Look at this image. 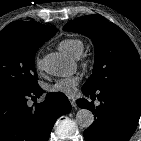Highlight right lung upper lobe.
Masks as SVG:
<instances>
[{"mask_svg": "<svg viewBox=\"0 0 141 141\" xmlns=\"http://www.w3.org/2000/svg\"><path fill=\"white\" fill-rule=\"evenodd\" d=\"M5 28H18V29L28 30L38 35L39 37L43 38L46 41L57 32V28L54 26H46L32 21H28V22L15 21L10 23Z\"/></svg>", "mask_w": 141, "mask_h": 141, "instance_id": "right-lung-upper-lobe-1", "label": "right lung upper lobe"}]
</instances>
